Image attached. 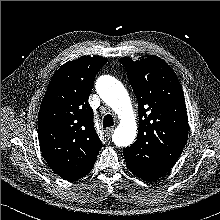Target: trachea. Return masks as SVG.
I'll use <instances>...</instances> for the list:
<instances>
[{
  "label": "trachea",
  "mask_w": 220,
  "mask_h": 220,
  "mask_svg": "<svg viewBox=\"0 0 220 220\" xmlns=\"http://www.w3.org/2000/svg\"><path fill=\"white\" fill-rule=\"evenodd\" d=\"M114 125L113 117L110 114L104 116L103 128L111 127Z\"/></svg>",
  "instance_id": "1"
}]
</instances>
